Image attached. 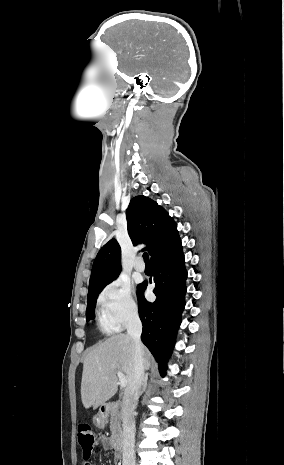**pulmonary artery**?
Returning <instances> with one entry per match:
<instances>
[{
    "label": "pulmonary artery",
    "mask_w": 284,
    "mask_h": 465,
    "mask_svg": "<svg viewBox=\"0 0 284 465\" xmlns=\"http://www.w3.org/2000/svg\"><path fill=\"white\" fill-rule=\"evenodd\" d=\"M134 269L137 271V272H143L145 270V265L144 263L140 260V259H137L135 262H134Z\"/></svg>",
    "instance_id": "e3ab8cb5"
}]
</instances>
